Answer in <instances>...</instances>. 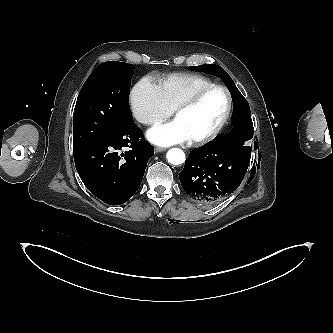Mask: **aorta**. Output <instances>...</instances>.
Returning <instances> with one entry per match:
<instances>
[{
    "mask_svg": "<svg viewBox=\"0 0 333 333\" xmlns=\"http://www.w3.org/2000/svg\"><path fill=\"white\" fill-rule=\"evenodd\" d=\"M167 160L173 165L182 164L185 161V153L179 148H172L167 152Z\"/></svg>",
    "mask_w": 333,
    "mask_h": 333,
    "instance_id": "obj_1",
    "label": "aorta"
}]
</instances>
